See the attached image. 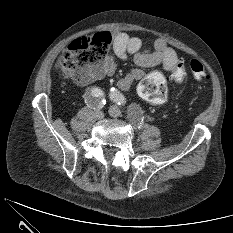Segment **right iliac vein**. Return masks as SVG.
<instances>
[{"label":"right iliac vein","instance_id":"right-iliac-vein-1","mask_svg":"<svg viewBox=\"0 0 233 233\" xmlns=\"http://www.w3.org/2000/svg\"><path fill=\"white\" fill-rule=\"evenodd\" d=\"M94 115H95V118L98 119V120H101V119L104 118V113H103V111H101V110H99V109H97V110L95 111Z\"/></svg>","mask_w":233,"mask_h":233}]
</instances>
